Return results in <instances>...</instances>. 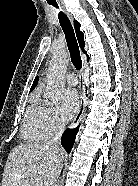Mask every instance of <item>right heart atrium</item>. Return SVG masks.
<instances>
[{
    "instance_id": "obj_1",
    "label": "right heart atrium",
    "mask_w": 138,
    "mask_h": 186,
    "mask_svg": "<svg viewBox=\"0 0 138 186\" xmlns=\"http://www.w3.org/2000/svg\"><path fill=\"white\" fill-rule=\"evenodd\" d=\"M45 123L50 134H54L63 128V122L58 117L57 111L51 107L47 109Z\"/></svg>"
}]
</instances>
